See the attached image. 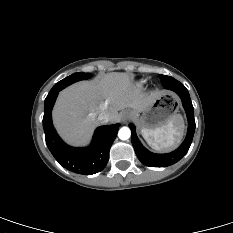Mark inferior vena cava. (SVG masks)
I'll use <instances>...</instances> for the list:
<instances>
[{
    "label": "inferior vena cava",
    "instance_id": "602c4592",
    "mask_svg": "<svg viewBox=\"0 0 233 233\" xmlns=\"http://www.w3.org/2000/svg\"><path fill=\"white\" fill-rule=\"evenodd\" d=\"M97 119L101 124H105V123H108L110 121V117L105 113H100L98 115Z\"/></svg>",
    "mask_w": 233,
    "mask_h": 233
}]
</instances>
